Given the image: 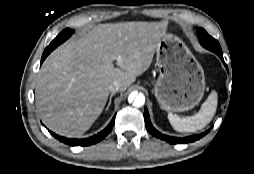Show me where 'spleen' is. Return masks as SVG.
I'll list each match as a JSON object with an SVG mask.
<instances>
[{"label": "spleen", "mask_w": 254, "mask_h": 174, "mask_svg": "<svg viewBox=\"0 0 254 174\" xmlns=\"http://www.w3.org/2000/svg\"><path fill=\"white\" fill-rule=\"evenodd\" d=\"M218 103L216 91H212L207 100L202 104L201 110L190 117H179L168 114V120L171 126L178 132H195L207 126L213 119Z\"/></svg>", "instance_id": "3e777b00"}]
</instances>
